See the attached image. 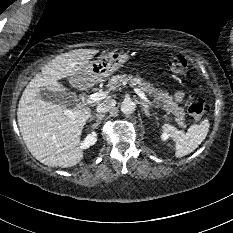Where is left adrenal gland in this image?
Masks as SVG:
<instances>
[{
    "instance_id": "a2214340",
    "label": "left adrenal gland",
    "mask_w": 233,
    "mask_h": 233,
    "mask_svg": "<svg viewBox=\"0 0 233 233\" xmlns=\"http://www.w3.org/2000/svg\"><path fill=\"white\" fill-rule=\"evenodd\" d=\"M140 104H141V106H142V108H143V111H144L145 115H146L147 117H150V111H149L150 107H149V105H147V104H146L145 102H143V101H141Z\"/></svg>"
}]
</instances>
